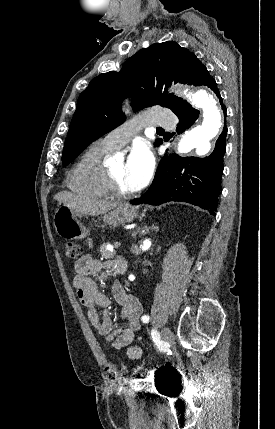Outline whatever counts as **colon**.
<instances>
[{"instance_id":"obj_1","label":"colon","mask_w":275,"mask_h":429,"mask_svg":"<svg viewBox=\"0 0 275 429\" xmlns=\"http://www.w3.org/2000/svg\"><path fill=\"white\" fill-rule=\"evenodd\" d=\"M81 253V248L74 242H66L64 245V254L67 260L75 261ZM106 375L109 382L113 383L118 379L119 370L115 365H108L106 368Z\"/></svg>"}]
</instances>
